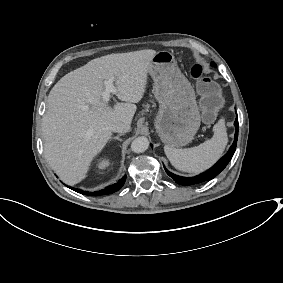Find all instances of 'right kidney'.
<instances>
[{
  "label": "right kidney",
  "mask_w": 283,
  "mask_h": 283,
  "mask_svg": "<svg viewBox=\"0 0 283 283\" xmlns=\"http://www.w3.org/2000/svg\"><path fill=\"white\" fill-rule=\"evenodd\" d=\"M107 165H108V162L102 161L101 164H100V168H103V167H105Z\"/></svg>",
  "instance_id": "1"
}]
</instances>
